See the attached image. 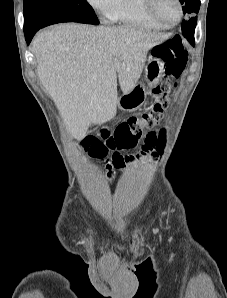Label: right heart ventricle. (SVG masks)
I'll use <instances>...</instances> for the list:
<instances>
[{
    "mask_svg": "<svg viewBox=\"0 0 227 298\" xmlns=\"http://www.w3.org/2000/svg\"><path fill=\"white\" fill-rule=\"evenodd\" d=\"M103 12L109 20L125 26L149 30L165 28L149 16L146 0H110Z\"/></svg>",
    "mask_w": 227,
    "mask_h": 298,
    "instance_id": "obj_1",
    "label": "right heart ventricle"
}]
</instances>
